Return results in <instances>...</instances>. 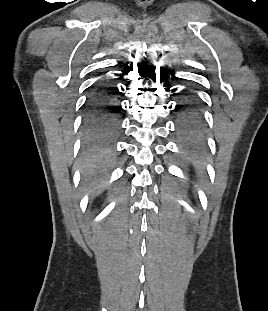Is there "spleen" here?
I'll use <instances>...</instances> for the list:
<instances>
[{"label": "spleen", "instance_id": "3e777b00", "mask_svg": "<svg viewBox=\"0 0 268 311\" xmlns=\"http://www.w3.org/2000/svg\"><path fill=\"white\" fill-rule=\"evenodd\" d=\"M195 164L197 166V170H198L199 174L202 175L204 173V170H205L204 164L200 161H196Z\"/></svg>", "mask_w": 268, "mask_h": 311}]
</instances>
